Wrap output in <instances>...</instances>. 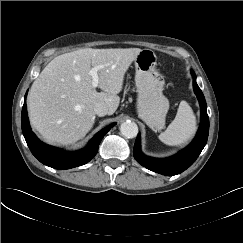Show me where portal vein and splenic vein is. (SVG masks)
<instances>
[{
	"label": "portal vein and splenic vein",
	"mask_w": 243,
	"mask_h": 243,
	"mask_svg": "<svg viewBox=\"0 0 243 243\" xmlns=\"http://www.w3.org/2000/svg\"><path fill=\"white\" fill-rule=\"evenodd\" d=\"M103 68V65L96 66L91 68L89 71L90 76L92 77V86L93 88L98 87L99 84V76H98V71Z\"/></svg>",
	"instance_id": "18ae733b"
}]
</instances>
